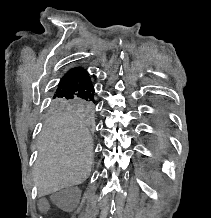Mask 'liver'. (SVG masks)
Listing matches in <instances>:
<instances>
[{"label":"liver","instance_id":"obj_1","mask_svg":"<svg viewBox=\"0 0 211 218\" xmlns=\"http://www.w3.org/2000/svg\"><path fill=\"white\" fill-rule=\"evenodd\" d=\"M39 150L33 182L40 196L87 180L93 144L87 128L73 114L62 112L47 120L39 138Z\"/></svg>","mask_w":211,"mask_h":218}]
</instances>
